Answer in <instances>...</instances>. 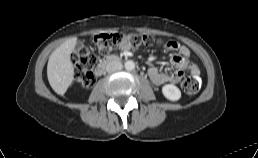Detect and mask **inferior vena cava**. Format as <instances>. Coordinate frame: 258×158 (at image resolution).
Listing matches in <instances>:
<instances>
[{
    "label": "inferior vena cava",
    "mask_w": 258,
    "mask_h": 158,
    "mask_svg": "<svg viewBox=\"0 0 258 158\" xmlns=\"http://www.w3.org/2000/svg\"><path fill=\"white\" fill-rule=\"evenodd\" d=\"M122 63L120 61H111L107 64L106 66V71L107 72H115V71H118V70H121L122 69Z\"/></svg>",
    "instance_id": "1"
}]
</instances>
